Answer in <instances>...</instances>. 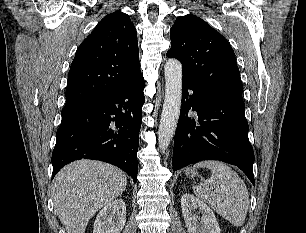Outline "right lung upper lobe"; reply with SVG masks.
<instances>
[{"instance_id": "cb5924a9", "label": "right lung upper lobe", "mask_w": 306, "mask_h": 233, "mask_svg": "<svg viewBox=\"0 0 306 233\" xmlns=\"http://www.w3.org/2000/svg\"><path fill=\"white\" fill-rule=\"evenodd\" d=\"M141 74L137 32L121 11L106 15L76 51L65 109L110 97Z\"/></svg>"}]
</instances>
